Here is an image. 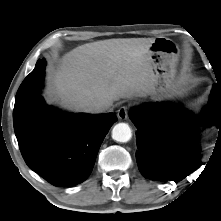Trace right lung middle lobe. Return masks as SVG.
<instances>
[{"label":"right lung middle lobe","instance_id":"right-lung-middle-lobe-1","mask_svg":"<svg viewBox=\"0 0 221 221\" xmlns=\"http://www.w3.org/2000/svg\"><path fill=\"white\" fill-rule=\"evenodd\" d=\"M27 110H28L27 103H22V105L19 107V110L16 112L15 115L16 121H22L27 115Z\"/></svg>","mask_w":221,"mask_h":221}]
</instances>
